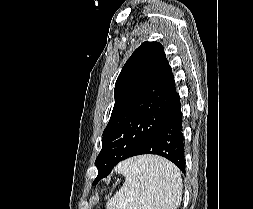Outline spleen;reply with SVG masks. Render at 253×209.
<instances>
[{
	"label": "spleen",
	"mask_w": 253,
	"mask_h": 209,
	"mask_svg": "<svg viewBox=\"0 0 253 209\" xmlns=\"http://www.w3.org/2000/svg\"><path fill=\"white\" fill-rule=\"evenodd\" d=\"M115 171L125 177L107 209H177L182 199L179 169L168 160L142 155L121 162Z\"/></svg>",
	"instance_id": "obj_1"
}]
</instances>
